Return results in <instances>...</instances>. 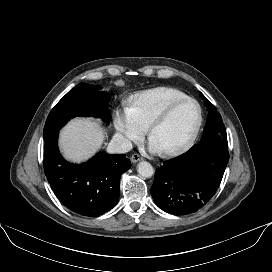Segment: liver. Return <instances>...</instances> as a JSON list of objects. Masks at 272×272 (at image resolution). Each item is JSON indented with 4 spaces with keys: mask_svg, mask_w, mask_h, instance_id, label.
<instances>
[{
    "mask_svg": "<svg viewBox=\"0 0 272 272\" xmlns=\"http://www.w3.org/2000/svg\"><path fill=\"white\" fill-rule=\"evenodd\" d=\"M104 134V130L93 119L76 118L62 129L60 148L68 160L85 161L101 147Z\"/></svg>",
    "mask_w": 272,
    "mask_h": 272,
    "instance_id": "liver-1",
    "label": "liver"
}]
</instances>
